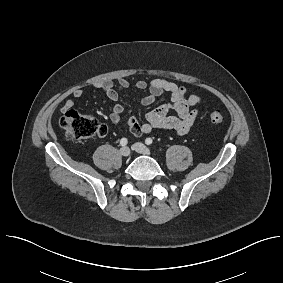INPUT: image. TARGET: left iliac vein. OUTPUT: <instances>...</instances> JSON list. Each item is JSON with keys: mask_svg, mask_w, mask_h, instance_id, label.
I'll return each mask as SVG.
<instances>
[{"mask_svg": "<svg viewBox=\"0 0 283 283\" xmlns=\"http://www.w3.org/2000/svg\"><path fill=\"white\" fill-rule=\"evenodd\" d=\"M133 148L136 152L143 154V155H150V150L142 143H135Z\"/></svg>", "mask_w": 283, "mask_h": 283, "instance_id": "left-iliac-vein-1", "label": "left iliac vein"}]
</instances>
